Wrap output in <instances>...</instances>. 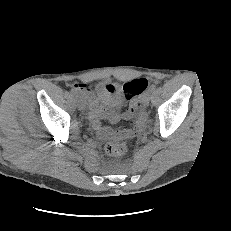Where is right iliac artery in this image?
I'll return each mask as SVG.
<instances>
[{
	"label": "right iliac artery",
	"instance_id": "1",
	"mask_svg": "<svg viewBox=\"0 0 231 231\" xmlns=\"http://www.w3.org/2000/svg\"><path fill=\"white\" fill-rule=\"evenodd\" d=\"M70 92H71L72 94H74V95L77 94V91H76L75 89H71Z\"/></svg>",
	"mask_w": 231,
	"mask_h": 231
}]
</instances>
